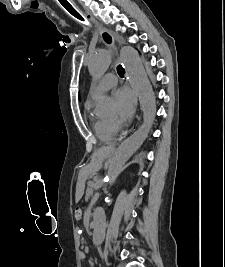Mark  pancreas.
Here are the masks:
<instances>
[{
	"label": "pancreas",
	"instance_id": "cf45deb5",
	"mask_svg": "<svg viewBox=\"0 0 225 267\" xmlns=\"http://www.w3.org/2000/svg\"><path fill=\"white\" fill-rule=\"evenodd\" d=\"M93 186H94L93 182L88 183V188L86 190V196H85L86 200H88L91 194L93 193Z\"/></svg>",
	"mask_w": 225,
	"mask_h": 267
}]
</instances>
